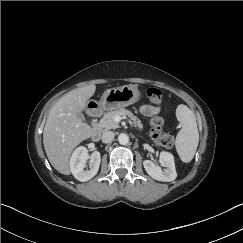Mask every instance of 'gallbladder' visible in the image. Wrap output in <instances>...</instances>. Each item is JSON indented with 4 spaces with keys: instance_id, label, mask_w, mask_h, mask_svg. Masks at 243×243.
<instances>
[{
    "instance_id": "bac80fb5",
    "label": "gallbladder",
    "mask_w": 243,
    "mask_h": 243,
    "mask_svg": "<svg viewBox=\"0 0 243 243\" xmlns=\"http://www.w3.org/2000/svg\"><path fill=\"white\" fill-rule=\"evenodd\" d=\"M82 120H84V116L82 114L78 115Z\"/></svg>"
}]
</instances>
